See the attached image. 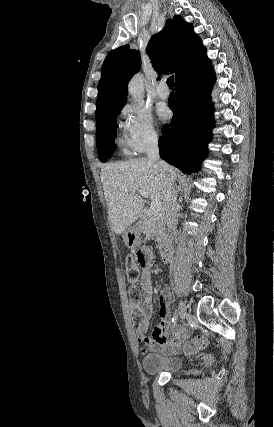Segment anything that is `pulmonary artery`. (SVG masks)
<instances>
[{
	"mask_svg": "<svg viewBox=\"0 0 274 427\" xmlns=\"http://www.w3.org/2000/svg\"><path fill=\"white\" fill-rule=\"evenodd\" d=\"M156 93L160 99H168L170 96V90L165 82L158 84L156 88Z\"/></svg>",
	"mask_w": 274,
	"mask_h": 427,
	"instance_id": "obj_1",
	"label": "pulmonary artery"
}]
</instances>
